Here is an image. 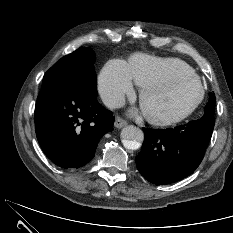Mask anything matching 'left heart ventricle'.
Returning <instances> with one entry per match:
<instances>
[{
    "instance_id": "1",
    "label": "left heart ventricle",
    "mask_w": 233,
    "mask_h": 233,
    "mask_svg": "<svg viewBox=\"0 0 233 233\" xmlns=\"http://www.w3.org/2000/svg\"><path fill=\"white\" fill-rule=\"evenodd\" d=\"M201 87L193 79H186L149 92L145 108L155 114L174 117L188 110L199 98Z\"/></svg>"
}]
</instances>
